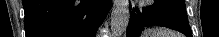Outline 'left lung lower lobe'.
I'll list each match as a JSON object with an SVG mask.
<instances>
[{"instance_id": "0a47b994", "label": "left lung lower lobe", "mask_w": 219, "mask_h": 37, "mask_svg": "<svg viewBox=\"0 0 219 37\" xmlns=\"http://www.w3.org/2000/svg\"><path fill=\"white\" fill-rule=\"evenodd\" d=\"M165 26L192 37L188 22L182 20L176 12L155 3L146 12L136 13L130 9V21L127 27V37H139L141 32L149 26Z\"/></svg>"}]
</instances>
